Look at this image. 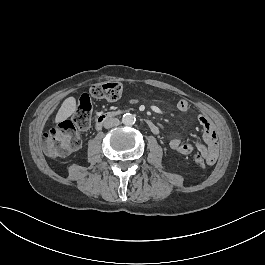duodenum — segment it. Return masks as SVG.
<instances>
[{
  "instance_id": "410a0bca",
  "label": "duodenum",
  "mask_w": 265,
  "mask_h": 265,
  "mask_svg": "<svg viewBox=\"0 0 265 265\" xmlns=\"http://www.w3.org/2000/svg\"><path fill=\"white\" fill-rule=\"evenodd\" d=\"M115 115H116V112H114V111L106 112V113H102V114L98 115L96 120H95L96 129H100L101 126L108 119L113 118ZM144 122L153 133H155V134L159 133V128L153 120H151L149 118H145Z\"/></svg>"
}]
</instances>
